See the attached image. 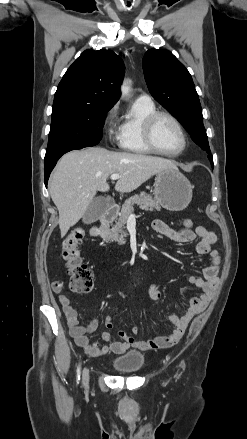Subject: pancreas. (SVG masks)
Wrapping results in <instances>:
<instances>
[{
	"label": "pancreas",
	"mask_w": 247,
	"mask_h": 439,
	"mask_svg": "<svg viewBox=\"0 0 247 439\" xmlns=\"http://www.w3.org/2000/svg\"><path fill=\"white\" fill-rule=\"evenodd\" d=\"M134 205H139L141 209L146 211L160 210V204L149 194L142 192L139 195L130 197L123 204L115 225L107 231V236L111 241H115L119 245L125 244L124 237L128 234L123 229L133 211Z\"/></svg>",
	"instance_id": "1"
}]
</instances>
